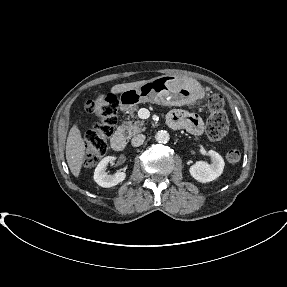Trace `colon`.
Segmentation results:
<instances>
[{"label":"colon","instance_id":"5ec220e1","mask_svg":"<svg viewBox=\"0 0 287 287\" xmlns=\"http://www.w3.org/2000/svg\"><path fill=\"white\" fill-rule=\"evenodd\" d=\"M86 109L99 119L85 137L84 164L86 167H92L107 152L108 140L115 132L118 99L112 94H99L87 103ZM208 111L207 134L211 140H221L228 132L229 123L224 109V100L219 94L209 97ZM226 159L229 163H238L241 152L235 148L229 149Z\"/></svg>","mask_w":287,"mask_h":287}]
</instances>
